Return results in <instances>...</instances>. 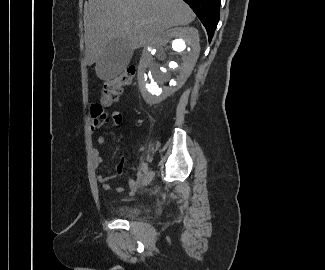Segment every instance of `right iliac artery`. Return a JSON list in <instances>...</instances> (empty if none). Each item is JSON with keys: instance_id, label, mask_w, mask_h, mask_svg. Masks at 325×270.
Segmentation results:
<instances>
[{"instance_id": "82829eb1", "label": "right iliac artery", "mask_w": 325, "mask_h": 270, "mask_svg": "<svg viewBox=\"0 0 325 270\" xmlns=\"http://www.w3.org/2000/svg\"><path fill=\"white\" fill-rule=\"evenodd\" d=\"M141 169L144 172V174H146L148 172V166H147V164L146 163H142Z\"/></svg>"}]
</instances>
